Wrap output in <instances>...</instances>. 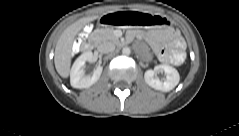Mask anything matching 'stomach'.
Masks as SVG:
<instances>
[{
    "label": "stomach",
    "mask_w": 239,
    "mask_h": 136,
    "mask_svg": "<svg viewBox=\"0 0 239 136\" xmlns=\"http://www.w3.org/2000/svg\"><path fill=\"white\" fill-rule=\"evenodd\" d=\"M100 25L155 30L158 27L170 28L172 26V19L150 16L149 13H143L142 11H116L108 12L107 16H100Z\"/></svg>",
    "instance_id": "obj_1"
}]
</instances>
